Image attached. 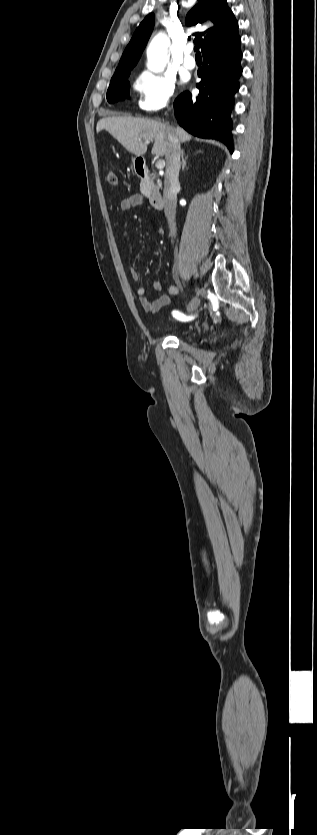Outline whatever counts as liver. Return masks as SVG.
I'll return each mask as SVG.
<instances>
[{
    "mask_svg": "<svg viewBox=\"0 0 317 835\" xmlns=\"http://www.w3.org/2000/svg\"><path fill=\"white\" fill-rule=\"evenodd\" d=\"M170 128L167 124L131 116H112L100 119L96 131L106 130L126 150L136 156H142L147 151L150 140H154L152 154L166 156L169 147L168 133ZM180 142H189L192 136L183 128L177 126L172 128Z\"/></svg>",
    "mask_w": 317,
    "mask_h": 835,
    "instance_id": "liver-1",
    "label": "liver"
}]
</instances>
